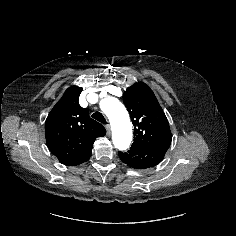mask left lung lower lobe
<instances>
[{"mask_svg": "<svg viewBox=\"0 0 236 236\" xmlns=\"http://www.w3.org/2000/svg\"><path fill=\"white\" fill-rule=\"evenodd\" d=\"M168 149L131 147L128 152H119L120 159L135 169H147L159 164Z\"/></svg>", "mask_w": 236, "mask_h": 236, "instance_id": "obj_1", "label": "left lung lower lobe"}]
</instances>
